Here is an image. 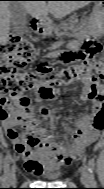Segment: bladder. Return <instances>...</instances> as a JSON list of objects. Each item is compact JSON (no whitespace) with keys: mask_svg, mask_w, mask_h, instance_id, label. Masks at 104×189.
<instances>
[{"mask_svg":"<svg viewBox=\"0 0 104 189\" xmlns=\"http://www.w3.org/2000/svg\"><path fill=\"white\" fill-rule=\"evenodd\" d=\"M42 175L45 179L54 181L60 177V172H58L57 170H48L44 172Z\"/></svg>","mask_w":104,"mask_h":189,"instance_id":"obj_1","label":"bladder"}]
</instances>
